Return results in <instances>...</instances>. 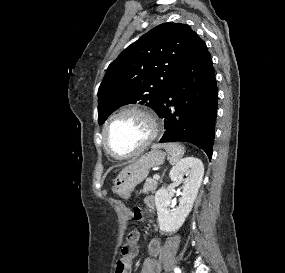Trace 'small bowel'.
<instances>
[{
  "label": "small bowel",
  "mask_w": 285,
  "mask_h": 273,
  "mask_svg": "<svg viewBox=\"0 0 285 273\" xmlns=\"http://www.w3.org/2000/svg\"><path fill=\"white\" fill-rule=\"evenodd\" d=\"M144 203L149 210H152L155 206L152 196H147ZM148 253L150 257L145 259L141 273H161V265L157 260L161 253V243L158 240H151L148 244Z\"/></svg>",
  "instance_id": "obj_1"
}]
</instances>
